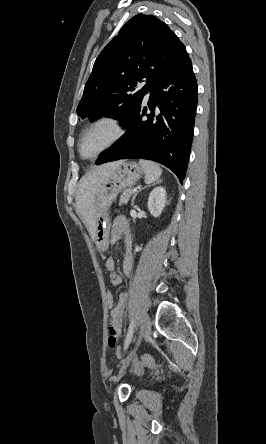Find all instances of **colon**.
Wrapping results in <instances>:
<instances>
[{
	"label": "colon",
	"mask_w": 266,
	"mask_h": 444,
	"mask_svg": "<svg viewBox=\"0 0 266 444\" xmlns=\"http://www.w3.org/2000/svg\"><path fill=\"white\" fill-rule=\"evenodd\" d=\"M106 304L109 309H113L115 304V297L111 290H108L106 293ZM116 353H119V350L116 351ZM161 365L158 360L154 359L153 357L149 355H141L138 361V367H151V368H159Z\"/></svg>",
	"instance_id": "5ec220e1"
}]
</instances>
